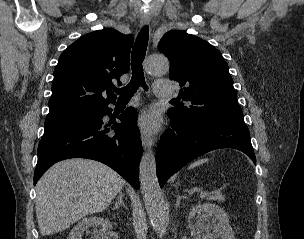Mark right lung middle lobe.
<instances>
[{
  "label": "right lung middle lobe",
  "instance_id": "obj_1",
  "mask_svg": "<svg viewBox=\"0 0 304 239\" xmlns=\"http://www.w3.org/2000/svg\"><path fill=\"white\" fill-rule=\"evenodd\" d=\"M92 112H93V111H91V112H87V113H83V114H80V115H77V116H74V117H71V118L63 119V120H70V119L84 118V117L89 116V115H90ZM55 121H61V120H55ZM46 122H52V121H46Z\"/></svg>",
  "mask_w": 304,
  "mask_h": 239
}]
</instances>
